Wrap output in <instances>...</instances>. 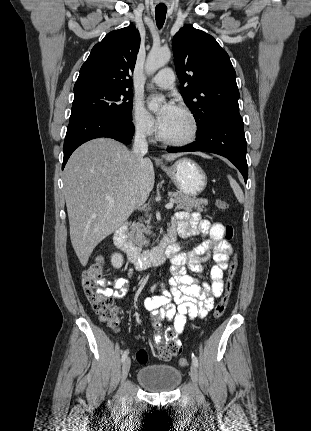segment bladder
Wrapping results in <instances>:
<instances>
[{"label":"bladder","mask_w":311,"mask_h":431,"mask_svg":"<svg viewBox=\"0 0 311 431\" xmlns=\"http://www.w3.org/2000/svg\"><path fill=\"white\" fill-rule=\"evenodd\" d=\"M138 383L150 392L168 393L176 390L182 381V372L170 364H149L137 372Z\"/></svg>","instance_id":"bladder-1"}]
</instances>
